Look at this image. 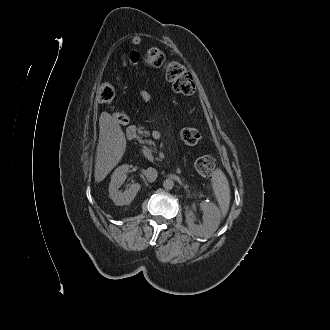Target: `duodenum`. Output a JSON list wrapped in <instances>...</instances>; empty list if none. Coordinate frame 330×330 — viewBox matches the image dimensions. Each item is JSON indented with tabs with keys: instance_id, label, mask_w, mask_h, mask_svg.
Instances as JSON below:
<instances>
[{
	"instance_id": "410a0bca",
	"label": "duodenum",
	"mask_w": 330,
	"mask_h": 330,
	"mask_svg": "<svg viewBox=\"0 0 330 330\" xmlns=\"http://www.w3.org/2000/svg\"><path fill=\"white\" fill-rule=\"evenodd\" d=\"M135 132H136V129L134 127H129L127 129V137L129 139H133L134 138V135H135ZM146 154H148V153L146 152Z\"/></svg>"
}]
</instances>
